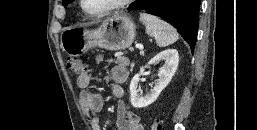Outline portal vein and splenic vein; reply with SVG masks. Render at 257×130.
I'll return each instance as SVG.
<instances>
[{
    "label": "portal vein and splenic vein",
    "instance_id": "1",
    "mask_svg": "<svg viewBox=\"0 0 257 130\" xmlns=\"http://www.w3.org/2000/svg\"><path fill=\"white\" fill-rule=\"evenodd\" d=\"M138 49H140V50H143V46L142 45H137L136 46Z\"/></svg>",
    "mask_w": 257,
    "mask_h": 130
}]
</instances>
